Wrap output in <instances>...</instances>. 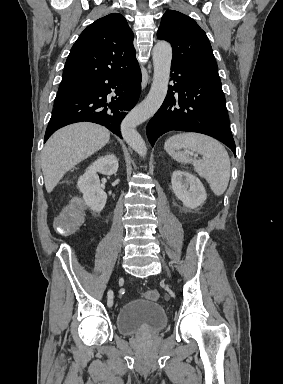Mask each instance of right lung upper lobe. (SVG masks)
Masks as SVG:
<instances>
[{
	"mask_svg": "<svg viewBox=\"0 0 283 384\" xmlns=\"http://www.w3.org/2000/svg\"><path fill=\"white\" fill-rule=\"evenodd\" d=\"M133 32L118 13L104 16L79 36L67 58L59 91L87 85L132 70L138 65Z\"/></svg>",
	"mask_w": 283,
	"mask_h": 384,
	"instance_id": "1",
	"label": "right lung upper lobe"
}]
</instances>
